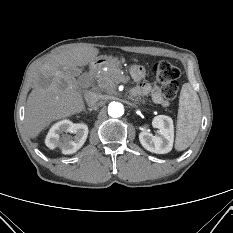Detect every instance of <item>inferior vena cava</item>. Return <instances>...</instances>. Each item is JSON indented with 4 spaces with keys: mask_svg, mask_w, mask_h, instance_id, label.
Wrapping results in <instances>:
<instances>
[{
    "mask_svg": "<svg viewBox=\"0 0 233 233\" xmlns=\"http://www.w3.org/2000/svg\"><path fill=\"white\" fill-rule=\"evenodd\" d=\"M86 102L88 103L89 106L93 107L97 104V102L100 99V95L94 92H88L85 95Z\"/></svg>",
    "mask_w": 233,
    "mask_h": 233,
    "instance_id": "602c4592",
    "label": "inferior vena cava"
}]
</instances>
